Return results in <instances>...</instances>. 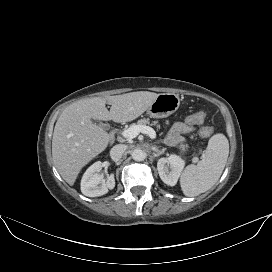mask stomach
<instances>
[{
    "label": "stomach",
    "mask_w": 272,
    "mask_h": 272,
    "mask_svg": "<svg viewBox=\"0 0 272 272\" xmlns=\"http://www.w3.org/2000/svg\"><path fill=\"white\" fill-rule=\"evenodd\" d=\"M180 105V98L174 93L158 94L155 101L147 110V114L153 118H165L173 114Z\"/></svg>",
    "instance_id": "1"
}]
</instances>
